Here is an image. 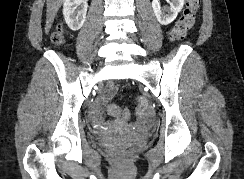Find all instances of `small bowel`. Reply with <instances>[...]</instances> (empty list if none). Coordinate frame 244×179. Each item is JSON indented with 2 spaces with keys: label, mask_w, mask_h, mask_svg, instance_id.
<instances>
[{
  "label": "small bowel",
  "mask_w": 244,
  "mask_h": 179,
  "mask_svg": "<svg viewBox=\"0 0 244 179\" xmlns=\"http://www.w3.org/2000/svg\"><path fill=\"white\" fill-rule=\"evenodd\" d=\"M111 88L112 87H110V90H112ZM107 110H120V109L114 106H109ZM98 113H102V109H100ZM150 115H154V110H143V112H139V120H140L139 123L142 125H148L150 121H152V116ZM117 116H125V115H117Z\"/></svg>",
  "instance_id": "1"
}]
</instances>
